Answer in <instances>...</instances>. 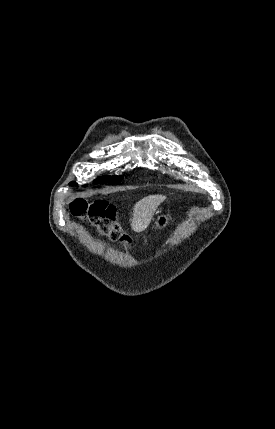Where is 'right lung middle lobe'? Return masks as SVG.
<instances>
[{
    "mask_svg": "<svg viewBox=\"0 0 275 429\" xmlns=\"http://www.w3.org/2000/svg\"><path fill=\"white\" fill-rule=\"evenodd\" d=\"M122 179H123L122 176H103V177L97 178L95 180V182L96 183H106V182L112 183V182H119ZM71 184L73 185V182Z\"/></svg>",
    "mask_w": 275,
    "mask_h": 429,
    "instance_id": "1",
    "label": "right lung middle lobe"
}]
</instances>
